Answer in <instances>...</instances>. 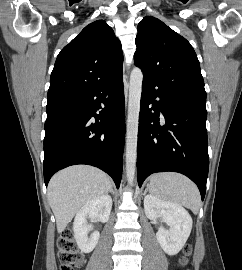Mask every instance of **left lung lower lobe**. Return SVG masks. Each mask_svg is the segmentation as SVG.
<instances>
[{
	"instance_id": "obj_1",
	"label": "left lung lower lobe",
	"mask_w": 242,
	"mask_h": 270,
	"mask_svg": "<svg viewBox=\"0 0 242 270\" xmlns=\"http://www.w3.org/2000/svg\"><path fill=\"white\" fill-rule=\"evenodd\" d=\"M206 118V99L176 95L143 78L137 143L139 187L152 173L174 171L194 181L204 199L209 169Z\"/></svg>"
}]
</instances>
